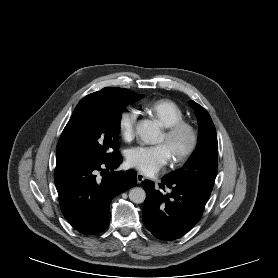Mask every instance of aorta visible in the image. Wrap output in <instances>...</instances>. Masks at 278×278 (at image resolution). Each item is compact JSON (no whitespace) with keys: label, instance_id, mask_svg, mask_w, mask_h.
Wrapping results in <instances>:
<instances>
[{"label":"aorta","instance_id":"762f6f07","mask_svg":"<svg viewBox=\"0 0 278 278\" xmlns=\"http://www.w3.org/2000/svg\"><path fill=\"white\" fill-rule=\"evenodd\" d=\"M136 132L140 139L146 144H155L159 141L160 130L158 125L150 120H143L138 123ZM146 198V192L143 188L134 187L129 191V199L133 203H142Z\"/></svg>","mask_w":278,"mask_h":278}]
</instances>
